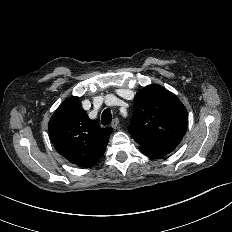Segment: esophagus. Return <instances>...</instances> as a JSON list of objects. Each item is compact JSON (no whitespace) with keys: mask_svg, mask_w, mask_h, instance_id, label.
Listing matches in <instances>:
<instances>
[{"mask_svg":"<svg viewBox=\"0 0 232 232\" xmlns=\"http://www.w3.org/2000/svg\"><path fill=\"white\" fill-rule=\"evenodd\" d=\"M119 125V120L117 118H115L112 123H111V126L113 129H116Z\"/></svg>","mask_w":232,"mask_h":232,"instance_id":"34e87169","label":"esophagus"}]
</instances>
